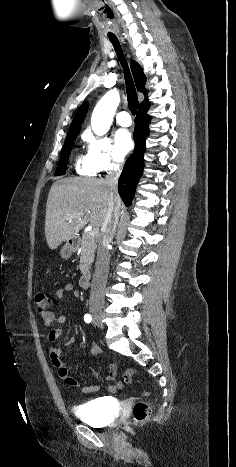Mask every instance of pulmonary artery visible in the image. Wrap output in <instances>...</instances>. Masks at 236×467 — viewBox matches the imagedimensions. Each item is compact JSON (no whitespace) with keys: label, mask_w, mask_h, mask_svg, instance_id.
<instances>
[{"label":"pulmonary artery","mask_w":236,"mask_h":467,"mask_svg":"<svg viewBox=\"0 0 236 467\" xmlns=\"http://www.w3.org/2000/svg\"><path fill=\"white\" fill-rule=\"evenodd\" d=\"M117 123L121 126L127 127L132 123L131 117L127 111H121L116 117Z\"/></svg>","instance_id":"pulmonary-artery-1"}]
</instances>
